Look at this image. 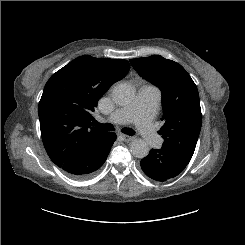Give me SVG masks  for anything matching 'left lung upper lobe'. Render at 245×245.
<instances>
[{"mask_svg": "<svg viewBox=\"0 0 245 245\" xmlns=\"http://www.w3.org/2000/svg\"><path fill=\"white\" fill-rule=\"evenodd\" d=\"M130 63L162 92V147L190 162L202 121L199 94L192 78L180 64L160 55L131 59Z\"/></svg>", "mask_w": 245, "mask_h": 245, "instance_id": "5c2ea615", "label": "left lung upper lobe"}]
</instances>
